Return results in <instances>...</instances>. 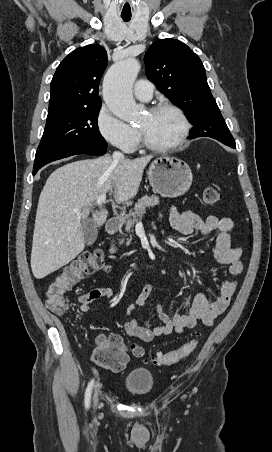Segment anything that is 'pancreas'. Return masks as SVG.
Wrapping results in <instances>:
<instances>
[{
    "label": "pancreas",
    "instance_id": "1",
    "mask_svg": "<svg viewBox=\"0 0 272 452\" xmlns=\"http://www.w3.org/2000/svg\"><path fill=\"white\" fill-rule=\"evenodd\" d=\"M159 203V197L156 195L151 196H143L141 197L138 202L135 204L134 211H130L127 215V222L125 230L127 232H132L131 228L137 221V217H142V215L145 213L147 208L154 207ZM131 242V239L127 240L126 245H129ZM121 243H123V239L121 240Z\"/></svg>",
    "mask_w": 272,
    "mask_h": 452
}]
</instances>
